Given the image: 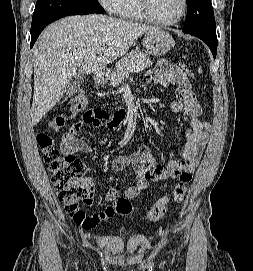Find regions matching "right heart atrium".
Returning <instances> with one entry per match:
<instances>
[{"label": "right heart atrium", "instance_id": "right-heart-atrium-1", "mask_svg": "<svg viewBox=\"0 0 253 271\" xmlns=\"http://www.w3.org/2000/svg\"><path fill=\"white\" fill-rule=\"evenodd\" d=\"M102 6L112 14L118 13L123 0H99Z\"/></svg>", "mask_w": 253, "mask_h": 271}]
</instances>
